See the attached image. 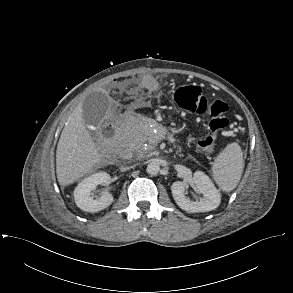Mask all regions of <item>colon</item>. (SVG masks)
<instances>
[{"label":"colon","instance_id":"colon-1","mask_svg":"<svg viewBox=\"0 0 293 293\" xmlns=\"http://www.w3.org/2000/svg\"><path fill=\"white\" fill-rule=\"evenodd\" d=\"M121 89H127L130 84L122 83ZM176 104L183 110L192 114H207L210 117L209 130L211 134L202 137L199 141L200 147L208 153L215 150L216 133L226 128L230 121L228 119L229 106L222 100H208L202 89L194 85L178 87L174 92ZM105 133L111 135V129H106Z\"/></svg>","mask_w":293,"mask_h":293}]
</instances>
